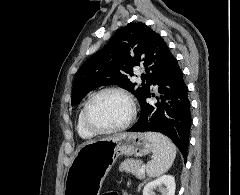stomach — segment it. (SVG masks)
Segmentation results:
<instances>
[{
    "label": "stomach",
    "mask_w": 240,
    "mask_h": 195,
    "mask_svg": "<svg viewBox=\"0 0 240 195\" xmlns=\"http://www.w3.org/2000/svg\"><path fill=\"white\" fill-rule=\"evenodd\" d=\"M152 149L145 133L124 131L89 139L79 145L68 167L65 195H99L102 183L119 155L127 159L147 155Z\"/></svg>",
    "instance_id": "obj_1"
}]
</instances>
